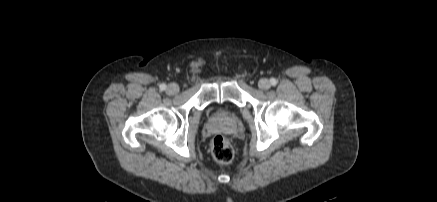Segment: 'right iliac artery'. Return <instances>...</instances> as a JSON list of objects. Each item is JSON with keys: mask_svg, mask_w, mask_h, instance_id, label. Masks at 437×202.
Listing matches in <instances>:
<instances>
[{"mask_svg": "<svg viewBox=\"0 0 437 202\" xmlns=\"http://www.w3.org/2000/svg\"><path fill=\"white\" fill-rule=\"evenodd\" d=\"M165 89H166V85H165V84H161V85H160V90L163 91V90H165Z\"/></svg>", "mask_w": 437, "mask_h": 202, "instance_id": "82829eb1", "label": "right iliac artery"}]
</instances>
